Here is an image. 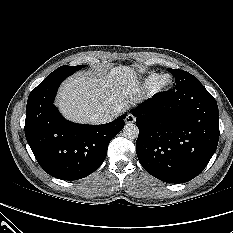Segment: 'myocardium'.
Listing matches in <instances>:
<instances>
[{
  "mask_svg": "<svg viewBox=\"0 0 233 233\" xmlns=\"http://www.w3.org/2000/svg\"><path fill=\"white\" fill-rule=\"evenodd\" d=\"M173 85V78L170 74H162L152 88L154 93H162L170 89Z\"/></svg>",
  "mask_w": 233,
  "mask_h": 233,
  "instance_id": "1",
  "label": "myocardium"
}]
</instances>
